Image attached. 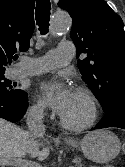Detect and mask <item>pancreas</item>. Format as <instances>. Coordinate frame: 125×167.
<instances>
[{"label": "pancreas", "mask_w": 125, "mask_h": 167, "mask_svg": "<svg viewBox=\"0 0 125 167\" xmlns=\"http://www.w3.org/2000/svg\"><path fill=\"white\" fill-rule=\"evenodd\" d=\"M76 160H77L78 167H83V165L80 163V158H76ZM93 167H96V166H93ZM108 167H111V166H108Z\"/></svg>", "instance_id": "pancreas-1"}]
</instances>
